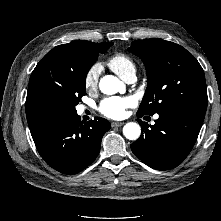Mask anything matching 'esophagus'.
<instances>
[{"instance_id":"esophagus-1","label":"esophagus","mask_w":221,"mask_h":221,"mask_svg":"<svg viewBox=\"0 0 221 221\" xmlns=\"http://www.w3.org/2000/svg\"><path fill=\"white\" fill-rule=\"evenodd\" d=\"M122 125H124V122H112V123H111V126H112V127H120V126H122Z\"/></svg>"}]
</instances>
